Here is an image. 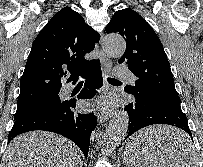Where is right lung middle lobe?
I'll use <instances>...</instances> for the list:
<instances>
[{"label":"right lung middle lobe","mask_w":203,"mask_h":167,"mask_svg":"<svg viewBox=\"0 0 203 167\" xmlns=\"http://www.w3.org/2000/svg\"><path fill=\"white\" fill-rule=\"evenodd\" d=\"M61 102L62 101L60 100L59 95L53 94V95L47 96L45 98H42L40 100H37L35 102L17 106V111L14 115V120H17L29 113L58 105Z\"/></svg>","instance_id":"dd1d6c3e"}]
</instances>
